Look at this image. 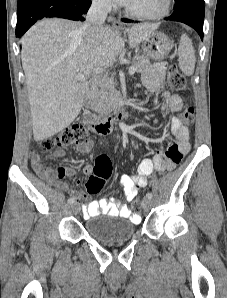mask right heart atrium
Masks as SVG:
<instances>
[{
  "instance_id": "obj_1",
  "label": "right heart atrium",
  "mask_w": 227,
  "mask_h": 298,
  "mask_svg": "<svg viewBox=\"0 0 227 298\" xmlns=\"http://www.w3.org/2000/svg\"><path fill=\"white\" fill-rule=\"evenodd\" d=\"M111 1L112 0H93L94 4L103 10H107L111 6Z\"/></svg>"
}]
</instances>
